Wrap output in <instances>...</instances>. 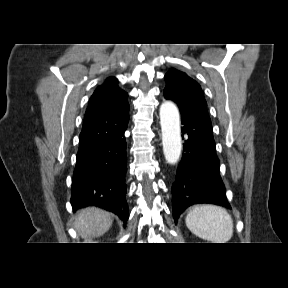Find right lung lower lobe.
Returning <instances> with one entry per match:
<instances>
[{
    "instance_id": "right-lung-lower-lobe-1",
    "label": "right lung lower lobe",
    "mask_w": 288,
    "mask_h": 288,
    "mask_svg": "<svg viewBox=\"0 0 288 288\" xmlns=\"http://www.w3.org/2000/svg\"><path fill=\"white\" fill-rule=\"evenodd\" d=\"M127 126L111 139L80 150L72 182L71 205L74 210L98 206L127 222L126 138Z\"/></svg>"
}]
</instances>
